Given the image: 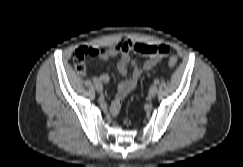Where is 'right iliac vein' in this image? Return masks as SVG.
<instances>
[{
  "label": "right iliac vein",
  "instance_id": "obj_1",
  "mask_svg": "<svg viewBox=\"0 0 243 167\" xmlns=\"http://www.w3.org/2000/svg\"><path fill=\"white\" fill-rule=\"evenodd\" d=\"M95 88L99 93L103 91V86L100 83L95 84Z\"/></svg>",
  "mask_w": 243,
  "mask_h": 167
}]
</instances>
